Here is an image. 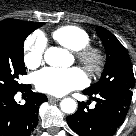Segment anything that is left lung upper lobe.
<instances>
[{"label":"left lung upper lobe","mask_w":136,"mask_h":136,"mask_svg":"<svg viewBox=\"0 0 136 136\" xmlns=\"http://www.w3.org/2000/svg\"><path fill=\"white\" fill-rule=\"evenodd\" d=\"M96 31L106 50V66L99 82L87 90L95 93L112 89L132 90L134 74L127 50L105 28L97 27Z\"/></svg>","instance_id":"obj_1"}]
</instances>
